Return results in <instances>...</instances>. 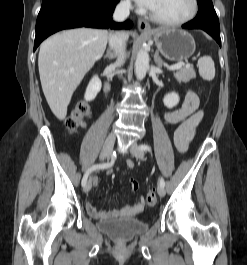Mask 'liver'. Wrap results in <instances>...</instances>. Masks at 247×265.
<instances>
[{"mask_svg": "<svg viewBox=\"0 0 247 265\" xmlns=\"http://www.w3.org/2000/svg\"><path fill=\"white\" fill-rule=\"evenodd\" d=\"M127 39L129 35L125 33ZM108 32L79 28L57 33L40 45L39 75L53 114L64 120L72 95L107 45Z\"/></svg>", "mask_w": 247, "mask_h": 265, "instance_id": "1", "label": "liver"}]
</instances>
